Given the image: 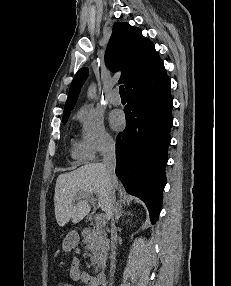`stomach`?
<instances>
[{"label": "stomach", "mask_w": 231, "mask_h": 286, "mask_svg": "<svg viewBox=\"0 0 231 286\" xmlns=\"http://www.w3.org/2000/svg\"><path fill=\"white\" fill-rule=\"evenodd\" d=\"M78 243H79L78 233L76 231H70L66 235V237L62 243V249H63V251L68 252L71 249L75 248L78 245Z\"/></svg>", "instance_id": "1"}]
</instances>
